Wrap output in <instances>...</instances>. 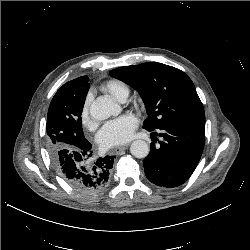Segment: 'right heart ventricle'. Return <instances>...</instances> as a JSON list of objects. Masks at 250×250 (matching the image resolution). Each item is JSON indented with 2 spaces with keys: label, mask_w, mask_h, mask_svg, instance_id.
Listing matches in <instances>:
<instances>
[{
  "label": "right heart ventricle",
  "mask_w": 250,
  "mask_h": 250,
  "mask_svg": "<svg viewBox=\"0 0 250 250\" xmlns=\"http://www.w3.org/2000/svg\"><path fill=\"white\" fill-rule=\"evenodd\" d=\"M100 90L118 101L126 100L130 93L129 85L120 79L108 80L100 86Z\"/></svg>",
  "instance_id": "obj_1"
}]
</instances>
